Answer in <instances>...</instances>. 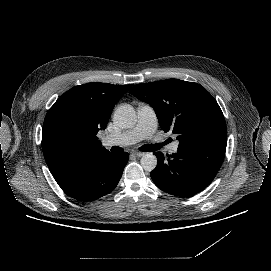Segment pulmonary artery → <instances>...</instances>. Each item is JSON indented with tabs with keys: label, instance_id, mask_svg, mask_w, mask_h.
Masks as SVG:
<instances>
[{
	"label": "pulmonary artery",
	"instance_id": "1",
	"mask_svg": "<svg viewBox=\"0 0 271 271\" xmlns=\"http://www.w3.org/2000/svg\"><path fill=\"white\" fill-rule=\"evenodd\" d=\"M158 121L154 109L147 104H141L137 109L136 123L133 127L118 133L108 134L101 139L104 146H129L141 140L150 138L157 129ZM179 142L168 146L170 154L178 151Z\"/></svg>",
	"mask_w": 271,
	"mask_h": 271
}]
</instances>
